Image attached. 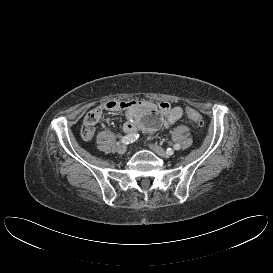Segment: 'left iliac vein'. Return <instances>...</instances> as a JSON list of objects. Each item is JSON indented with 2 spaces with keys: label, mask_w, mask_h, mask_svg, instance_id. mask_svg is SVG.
Here are the masks:
<instances>
[{
  "label": "left iliac vein",
  "mask_w": 273,
  "mask_h": 273,
  "mask_svg": "<svg viewBox=\"0 0 273 273\" xmlns=\"http://www.w3.org/2000/svg\"><path fill=\"white\" fill-rule=\"evenodd\" d=\"M149 147L159 156L169 158L170 154L157 144H149Z\"/></svg>",
  "instance_id": "1"
}]
</instances>
